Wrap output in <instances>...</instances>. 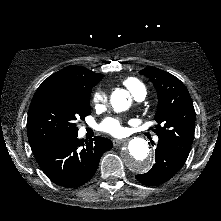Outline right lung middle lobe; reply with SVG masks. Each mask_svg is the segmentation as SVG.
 I'll return each instance as SVG.
<instances>
[{"instance_id": "1", "label": "right lung middle lobe", "mask_w": 221, "mask_h": 221, "mask_svg": "<svg viewBox=\"0 0 221 221\" xmlns=\"http://www.w3.org/2000/svg\"><path fill=\"white\" fill-rule=\"evenodd\" d=\"M96 84L40 85L28 111L27 134L30 145L77 133L76 120H84L91 114L90 95Z\"/></svg>"}]
</instances>
